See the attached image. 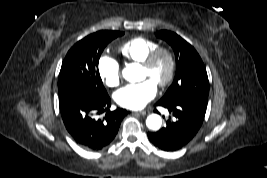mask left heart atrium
<instances>
[{"label": "left heart atrium", "mask_w": 267, "mask_h": 178, "mask_svg": "<svg viewBox=\"0 0 267 178\" xmlns=\"http://www.w3.org/2000/svg\"><path fill=\"white\" fill-rule=\"evenodd\" d=\"M156 94L157 84L150 79H145L121 88L115 93L114 99L121 107L138 110L149 103Z\"/></svg>", "instance_id": "1"}]
</instances>
